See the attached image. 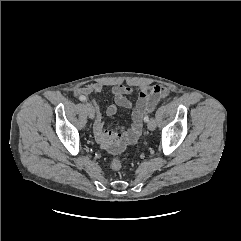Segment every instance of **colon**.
Masks as SVG:
<instances>
[{
  "instance_id": "colon-1",
  "label": "colon",
  "mask_w": 241,
  "mask_h": 241,
  "mask_svg": "<svg viewBox=\"0 0 241 241\" xmlns=\"http://www.w3.org/2000/svg\"><path fill=\"white\" fill-rule=\"evenodd\" d=\"M110 167L114 171L120 170L122 168L121 160L119 158H113L111 163H110Z\"/></svg>"
}]
</instances>
